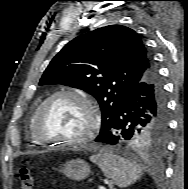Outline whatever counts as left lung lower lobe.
<instances>
[{
    "mask_svg": "<svg viewBox=\"0 0 188 189\" xmlns=\"http://www.w3.org/2000/svg\"><path fill=\"white\" fill-rule=\"evenodd\" d=\"M148 128L167 129L166 97L155 66L132 87L109 130L95 141L129 144L135 135Z\"/></svg>",
    "mask_w": 188,
    "mask_h": 189,
    "instance_id": "0a47b994",
    "label": "left lung lower lobe"
}]
</instances>
